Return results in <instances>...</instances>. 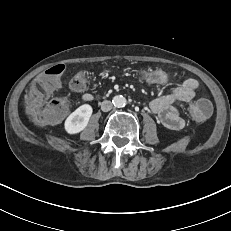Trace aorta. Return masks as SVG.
<instances>
[{
	"instance_id": "aorta-1",
	"label": "aorta",
	"mask_w": 231,
	"mask_h": 231,
	"mask_svg": "<svg viewBox=\"0 0 231 231\" xmlns=\"http://www.w3.org/2000/svg\"><path fill=\"white\" fill-rule=\"evenodd\" d=\"M112 103L115 107H124L126 105V99L122 95H116L113 97Z\"/></svg>"
}]
</instances>
